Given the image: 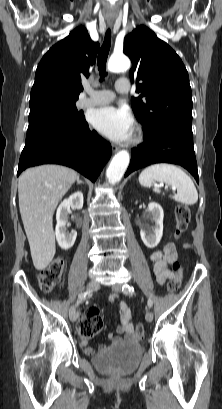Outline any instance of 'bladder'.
<instances>
[{
	"mask_svg": "<svg viewBox=\"0 0 222 409\" xmlns=\"http://www.w3.org/2000/svg\"><path fill=\"white\" fill-rule=\"evenodd\" d=\"M144 354V347L135 342L115 344L93 357L94 366L105 373H131Z\"/></svg>",
	"mask_w": 222,
	"mask_h": 409,
	"instance_id": "bladder-1",
	"label": "bladder"
}]
</instances>
